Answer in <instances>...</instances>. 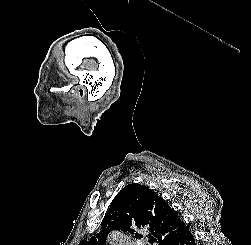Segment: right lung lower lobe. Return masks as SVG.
I'll list each match as a JSON object with an SVG mask.
<instances>
[{"label":"right lung lower lobe","instance_id":"1","mask_svg":"<svg viewBox=\"0 0 251 245\" xmlns=\"http://www.w3.org/2000/svg\"><path fill=\"white\" fill-rule=\"evenodd\" d=\"M164 245H196L195 240L187 227L181 231L178 236L167 241Z\"/></svg>","mask_w":251,"mask_h":245}]
</instances>
